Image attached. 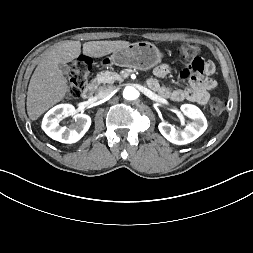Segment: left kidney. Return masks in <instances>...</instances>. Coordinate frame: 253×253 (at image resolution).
Instances as JSON below:
<instances>
[{"label":"left kidney","mask_w":253,"mask_h":253,"mask_svg":"<svg viewBox=\"0 0 253 253\" xmlns=\"http://www.w3.org/2000/svg\"><path fill=\"white\" fill-rule=\"evenodd\" d=\"M185 116L192 119L184 130H176L174 126L167 122H161L158 125L160 133L171 143L177 145L188 144L207 129V120L202 111L195 105L183 104L180 107Z\"/></svg>","instance_id":"5707ae66"}]
</instances>
